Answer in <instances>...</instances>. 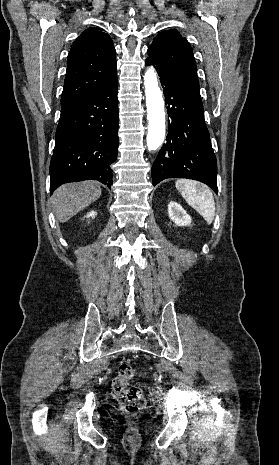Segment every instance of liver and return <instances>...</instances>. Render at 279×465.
Here are the masks:
<instances>
[{
	"label": "liver",
	"instance_id": "1",
	"mask_svg": "<svg viewBox=\"0 0 279 465\" xmlns=\"http://www.w3.org/2000/svg\"><path fill=\"white\" fill-rule=\"evenodd\" d=\"M100 196L101 187L96 181L64 184L52 195L54 214L61 223L67 222Z\"/></svg>",
	"mask_w": 279,
	"mask_h": 465
}]
</instances>
